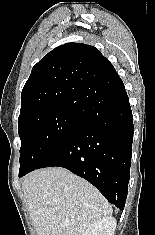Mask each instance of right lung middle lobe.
<instances>
[{"instance_id": "obj_1", "label": "right lung middle lobe", "mask_w": 155, "mask_h": 235, "mask_svg": "<svg viewBox=\"0 0 155 235\" xmlns=\"http://www.w3.org/2000/svg\"><path fill=\"white\" fill-rule=\"evenodd\" d=\"M83 124L79 113L56 105L42 106L19 116V174L34 170Z\"/></svg>"}]
</instances>
